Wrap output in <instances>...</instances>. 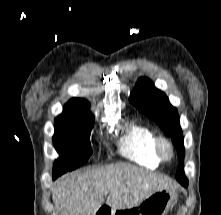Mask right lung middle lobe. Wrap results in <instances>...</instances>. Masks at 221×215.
Segmentation results:
<instances>
[{
	"label": "right lung middle lobe",
	"instance_id": "obj_1",
	"mask_svg": "<svg viewBox=\"0 0 221 215\" xmlns=\"http://www.w3.org/2000/svg\"><path fill=\"white\" fill-rule=\"evenodd\" d=\"M88 107L85 104L65 107L55 120L53 142L60 155L53 166L55 178L85 164L92 154L90 133L94 116Z\"/></svg>",
	"mask_w": 221,
	"mask_h": 215
}]
</instances>
